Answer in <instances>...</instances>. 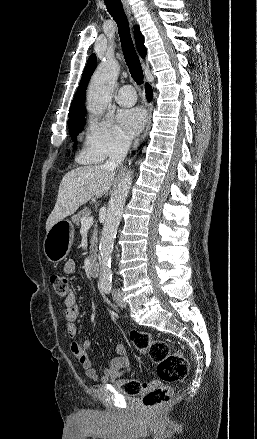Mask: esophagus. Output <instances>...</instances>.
I'll return each instance as SVG.
<instances>
[{
    "label": "esophagus",
    "mask_w": 257,
    "mask_h": 439,
    "mask_svg": "<svg viewBox=\"0 0 257 439\" xmlns=\"http://www.w3.org/2000/svg\"><path fill=\"white\" fill-rule=\"evenodd\" d=\"M121 1H122V3H123L124 9H125V11H126L128 17H129L130 21H132L131 8H130V6H129L127 0H121ZM152 107H153V106H152V104L150 103V104H149V111H148V118H147V125H146V128H145V130L143 131V133L141 134V136L139 137V139L135 142V144H134V148H137V147H138L139 143L142 142V141L146 138V136H147V134H148V132H149V130H150V127H151V114H152Z\"/></svg>",
    "instance_id": "1"
}]
</instances>
